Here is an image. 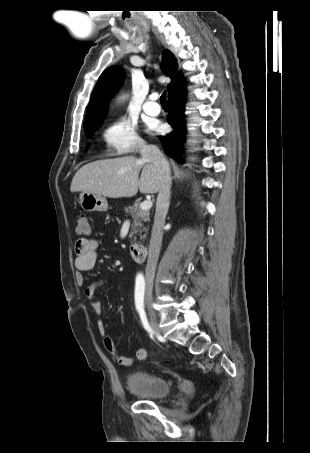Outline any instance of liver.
I'll use <instances>...</instances> for the list:
<instances>
[{
    "mask_svg": "<svg viewBox=\"0 0 310 453\" xmlns=\"http://www.w3.org/2000/svg\"><path fill=\"white\" fill-rule=\"evenodd\" d=\"M161 176V170L152 162L134 156L97 160L76 172L70 191L109 198L133 197L138 190L155 194L160 190Z\"/></svg>",
    "mask_w": 310,
    "mask_h": 453,
    "instance_id": "6515ba94",
    "label": "liver"
}]
</instances>
